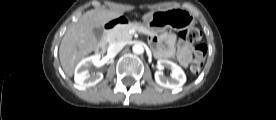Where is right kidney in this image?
Masks as SVG:
<instances>
[{
	"label": "right kidney",
	"mask_w": 276,
	"mask_h": 120,
	"mask_svg": "<svg viewBox=\"0 0 276 120\" xmlns=\"http://www.w3.org/2000/svg\"><path fill=\"white\" fill-rule=\"evenodd\" d=\"M100 61V55H92L84 58L78 63L74 72V81L81 88L91 87L99 83L103 79L100 72L90 74L89 69L93 65H97Z\"/></svg>",
	"instance_id": "right-kidney-1"
}]
</instances>
